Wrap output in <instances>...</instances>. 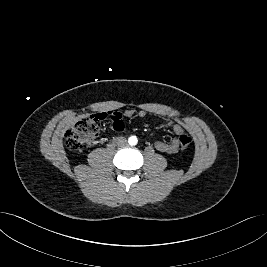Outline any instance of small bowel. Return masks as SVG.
<instances>
[{
  "instance_id": "obj_1",
  "label": "small bowel",
  "mask_w": 267,
  "mask_h": 267,
  "mask_svg": "<svg viewBox=\"0 0 267 267\" xmlns=\"http://www.w3.org/2000/svg\"><path fill=\"white\" fill-rule=\"evenodd\" d=\"M112 119V128L113 130L117 132H122L125 130V124L122 119V115H125L127 117H132L135 112L134 110H126L123 113H121L118 110L115 111H110L108 112ZM106 115V114H103ZM137 115L141 118L145 117L147 115V112L145 110H140ZM173 130L174 132L178 135L179 133L184 132V128L181 124H174L173 125ZM180 147V142L178 139H172L168 142L166 141H157L155 142V148L162 152V153H167V154H173L178 151Z\"/></svg>"
}]
</instances>
